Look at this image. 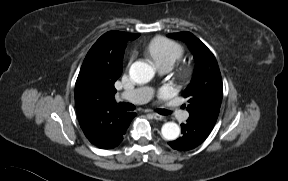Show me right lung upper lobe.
<instances>
[{
	"instance_id": "cb5924a9",
	"label": "right lung upper lobe",
	"mask_w": 288,
	"mask_h": 181,
	"mask_svg": "<svg viewBox=\"0 0 288 181\" xmlns=\"http://www.w3.org/2000/svg\"><path fill=\"white\" fill-rule=\"evenodd\" d=\"M139 34L110 31L87 53L75 84V103L80 126L94 145L114 148L126 123L127 112L116 105L115 81L122 73L128 41Z\"/></svg>"
}]
</instances>
